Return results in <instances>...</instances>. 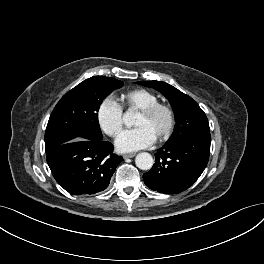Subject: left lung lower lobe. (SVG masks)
<instances>
[{"mask_svg":"<svg viewBox=\"0 0 264 264\" xmlns=\"http://www.w3.org/2000/svg\"><path fill=\"white\" fill-rule=\"evenodd\" d=\"M210 143V133L166 142L156 153L152 169L143 174L144 183L150 189L165 194L185 191L207 166Z\"/></svg>","mask_w":264,"mask_h":264,"instance_id":"0a47b994","label":"left lung lower lobe"}]
</instances>
